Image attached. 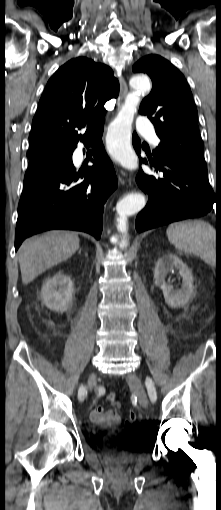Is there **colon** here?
<instances>
[{
  "label": "colon",
  "mask_w": 221,
  "mask_h": 510,
  "mask_svg": "<svg viewBox=\"0 0 221 510\" xmlns=\"http://www.w3.org/2000/svg\"><path fill=\"white\" fill-rule=\"evenodd\" d=\"M108 400L111 401L116 407L120 406V403L116 401L115 393L110 392L107 396ZM136 419V415L134 412H129L127 418L125 419V424H132Z\"/></svg>",
  "instance_id": "colon-1"
}]
</instances>
